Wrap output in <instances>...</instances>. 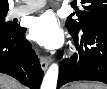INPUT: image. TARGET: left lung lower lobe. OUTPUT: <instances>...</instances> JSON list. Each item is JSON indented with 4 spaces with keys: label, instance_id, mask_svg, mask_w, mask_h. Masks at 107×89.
<instances>
[{
    "label": "left lung lower lobe",
    "instance_id": "0a47b994",
    "mask_svg": "<svg viewBox=\"0 0 107 89\" xmlns=\"http://www.w3.org/2000/svg\"><path fill=\"white\" fill-rule=\"evenodd\" d=\"M69 30L78 54L61 63L57 88L77 80L107 84V22H93L79 31L73 28Z\"/></svg>",
    "mask_w": 107,
    "mask_h": 89
}]
</instances>
